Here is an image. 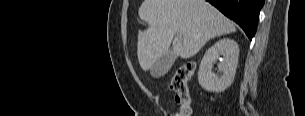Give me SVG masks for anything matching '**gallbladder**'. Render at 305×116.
<instances>
[{
	"instance_id": "1",
	"label": "gallbladder",
	"mask_w": 305,
	"mask_h": 116,
	"mask_svg": "<svg viewBox=\"0 0 305 116\" xmlns=\"http://www.w3.org/2000/svg\"><path fill=\"white\" fill-rule=\"evenodd\" d=\"M176 59L175 54L172 50L166 51L162 56H160L150 69V74L154 78H159L164 76L173 65Z\"/></svg>"
}]
</instances>
